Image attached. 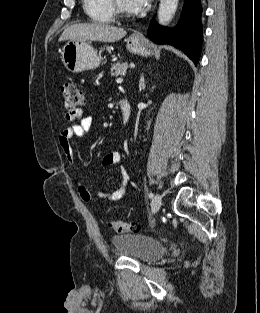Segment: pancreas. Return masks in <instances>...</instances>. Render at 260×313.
Masks as SVG:
<instances>
[{"label":"pancreas","mask_w":260,"mask_h":313,"mask_svg":"<svg viewBox=\"0 0 260 313\" xmlns=\"http://www.w3.org/2000/svg\"><path fill=\"white\" fill-rule=\"evenodd\" d=\"M128 69V63L117 62L112 65L111 72L113 76L125 75Z\"/></svg>","instance_id":"1"}]
</instances>
